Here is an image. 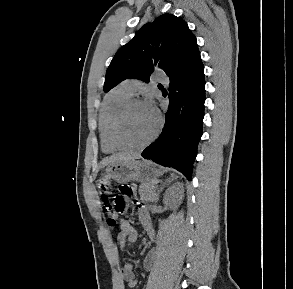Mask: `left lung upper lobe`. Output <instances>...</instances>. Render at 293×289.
Wrapping results in <instances>:
<instances>
[{
	"label": "left lung upper lobe",
	"mask_w": 293,
	"mask_h": 289,
	"mask_svg": "<svg viewBox=\"0 0 293 289\" xmlns=\"http://www.w3.org/2000/svg\"><path fill=\"white\" fill-rule=\"evenodd\" d=\"M197 54L196 38L187 23L173 14H163L145 24L117 51L106 71L104 91L129 78L148 82L156 68L163 69L170 77Z\"/></svg>",
	"instance_id": "obj_1"
}]
</instances>
